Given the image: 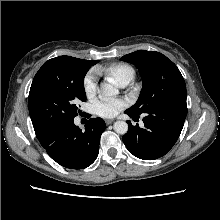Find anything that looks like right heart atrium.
<instances>
[{
	"instance_id": "d8ad5b80",
	"label": "right heart atrium",
	"mask_w": 220,
	"mask_h": 220,
	"mask_svg": "<svg viewBox=\"0 0 220 220\" xmlns=\"http://www.w3.org/2000/svg\"><path fill=\"white\" fill-rule=\"evenodd\" d=\"M83 90L87 98H92L97 92V82L93 75L89 74L84 78Z\"/></svg>"
}]
</instances>
